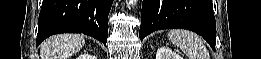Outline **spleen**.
Instances as JSON below:
<instances>
[{"mask_svg": "<svg viewBox=\"0 0 261 59\" xmlns=\"http://www.w3.org/2000/svg\"><path fill=\"white\" fill-rule=\"evenodd\" d=\"M169 41L176 44L189 59H209L206 46L197 34L188 30L175 29L168 33Z\"/></svg>", "mask_w": 261, "mask_h": 59, "instance_id": "3e777b00", "label": "spleen"}]
</instances>
